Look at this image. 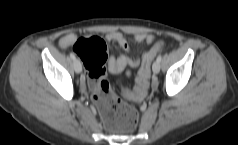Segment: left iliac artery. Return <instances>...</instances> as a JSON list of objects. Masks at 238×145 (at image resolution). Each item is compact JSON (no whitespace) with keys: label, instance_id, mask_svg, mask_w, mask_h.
I'll list each match as a JSON object with an SVG mask.
<instances>
[{"label":"left iliac artery","instance_id":"left-iliac-artery-1","mask_svg":"<svg viewBox=\"0 0 238 145\" xmlns=\"http://www.w3.org/2000/svg\"><path fill=\"white\" fill-rule=\"evenodd\" d=\"M161 59H162V55H159V56L157 57L156 61L160 63V62H161Z\"/></svg>","mask_w":238,"mask_h":145}]
</instances>
